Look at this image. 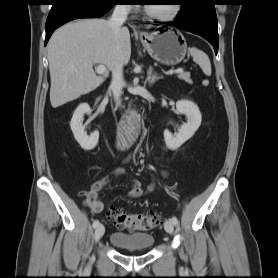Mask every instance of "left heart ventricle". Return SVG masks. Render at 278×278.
<instances>
[{
    "instance_id": "left-heart-ventricle-1",
    "label": "left heart ventricle",
    "mask_w": 278,
    "mask_h": 278,
    "mask_svg": "<svg viewBox=\"0 0 278 278\" xmlns=\"http://www.w3.org/2000/svg\"><path fill=\"white\" fill-rule=\"evenodd\" d=\"M149 8L158 14H168L173 9V4L149 5Z\"/></svg>"
}]
</instances>
